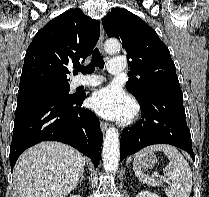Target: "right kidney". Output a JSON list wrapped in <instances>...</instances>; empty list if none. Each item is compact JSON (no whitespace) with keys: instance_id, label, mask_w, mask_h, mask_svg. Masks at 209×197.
Masks as SVG:
<instances>
[{"instance_id":"ca27d5eb","label":"right kidney","mask_w":209,"mask_h":197,"mask_svg":"<svg viewBox=\"0 0 209 197\" xmlns=\"http://www.w3.org/2000/svg\"><path fill=\"white\" fill-rule=\"evenodd\" d=\"M69 197H81L80 195H70Z\"/></svg>"}]
</instances>
